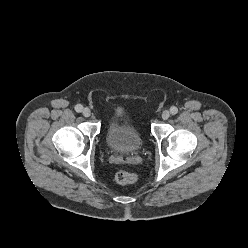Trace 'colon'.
Wrapping results in <instances>:
<instances>
[{
    "instance_id": "colon-1",
    "label": "colon",
    "mask_w": 248,
    "mask_h": 248,
    "mask_svg": "<svg viewBox=\"0 0 248 248\" xmlns=\"http://www.w3.org/2000/svg\"><path fill=\"white\" fill-rule=\"evenodd\" d=\"M115 178L122 185H132L138 181V175L136 173L126 170L117 172Z\"/></svg>"
}]
</instances>
